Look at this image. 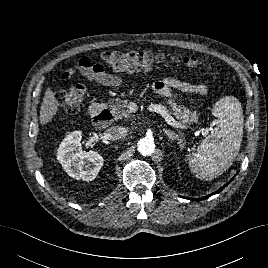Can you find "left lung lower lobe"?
Returning <instances> with one entry per match:
<instances>
[{
	"label": "left lung lower lobe",
	"instance_id": "0a47b994",
	"mask_svg": "<svg viewBox=\"0 0 268 268\" xmlns=\"http://www.w3.org/2000/svg\"><path fill=\"white\" fill-rule=\"evenodd\" d=\"M229 183H227L226 185H224L223 187H221L218 191L214 192L213 194H217V193L221 192ZM213 194H211V195H213ZM211 195L205 196V197H203L201 199L198 198V199H192V200H195V201L204 200V199L210 197Z\"/></svg>",
	"mask_w": 268,
	"mask_h": 268
}]
</instances>
